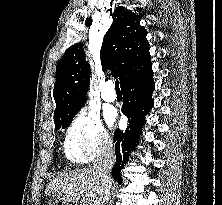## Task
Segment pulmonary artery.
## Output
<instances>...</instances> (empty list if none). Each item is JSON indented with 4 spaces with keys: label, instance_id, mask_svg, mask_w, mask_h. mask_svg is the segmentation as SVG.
Listing matches in <instances>:
<instances>
[{
    "label": "pulmonary artery",
    "instance_id": "1",
    "mask_svg": "<svg viewBox=\"0 0 222 205\" xmlns=\"http://www.w3.org/2000/svg\"><path fill=\"white\" fill-rule=\"evenodd\" d=\"M101 96L106 102H114L116 100V93L111 81L104 84L101 91Z\"/></svg>",
    "mask_w": 222,
    "mask_h": 205
}]
</instances>
